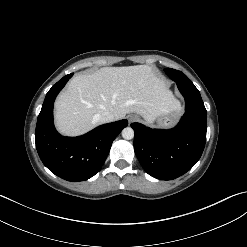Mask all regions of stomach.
<instances>
[{
  "instance_id": "0dacf381",
  "label": "stomach",
  "mask_w": 247,
  "mask_h": 247,
  "mask_svg": "<svg viewBox=\"0 0 247 247\" xmlns=\"http://www.w3.org/2000/svg\"><path fill=\"white\" fill-rule=\"evenodd\" d=\"M182 113L183 109L182 106L179 104V107L177 109L172 110L164 115L158 116L155 120V125L159 128H170L178 122Z\"/></svg>"
}]
</instances>
